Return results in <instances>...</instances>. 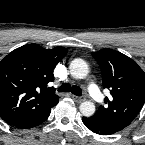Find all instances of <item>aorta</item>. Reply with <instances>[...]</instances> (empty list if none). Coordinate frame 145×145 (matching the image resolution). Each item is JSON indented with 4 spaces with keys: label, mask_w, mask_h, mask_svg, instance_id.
<instances>
[{
    "label": "aorta",
    "mask_w": 145,
    "mask_h": 145,
    "mask_svg": "<svg viewBox=\"0 0 145 145\" xmlns=\"http://www.w3.org/2000/svg\"><path fill=\"white\" fill-rule=\"evenodd\" d=\"M70 74L76 79H83L87 76L89 70L88 65L83 59H74L69 66ZM80 112L86 116L90 117L95 112V105L91 101H84L80 104Z\"/></svg>",
    "instance_id": "1"
}]
</instances>
